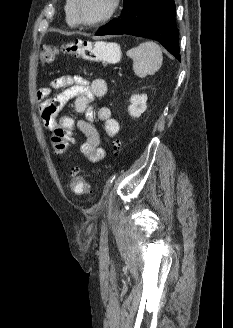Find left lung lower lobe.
Instances as JSON below:
<instances>
[{"label":"left lung lower lobe","mask_w":233,"mask_h":328,"mask_svg":"<svg viewBox=\"0 0 233 328\" xmlns=\"http://www.w3.org/2000/svg\"><path fill=\"white\" fill-rule=\"evenodd\" d=\"M117 34L157 40L180 60L174 0H124L121 15L105 24L96 35Z\"/></svg>","instance_id":"1"}]
</instances>
